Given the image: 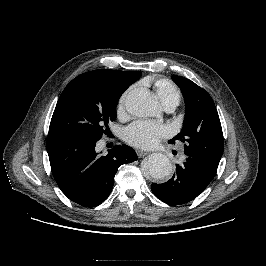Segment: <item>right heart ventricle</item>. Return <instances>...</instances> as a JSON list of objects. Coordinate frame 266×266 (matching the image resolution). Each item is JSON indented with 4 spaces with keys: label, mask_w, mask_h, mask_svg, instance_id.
Returning a JSON list of instances; mask_svg holds the SVG:
<instances>
[{
    "label": "right heart ventricle",
    "mask_w": 266,
    "mask_h": 266,
    "mask_svg": "<svg viewBox=\"0 0 266 266\" xmlns=\"http://www.w3.org/2000/svg\"><path fill=\"white\" fill-rule=\"evenodd\" d=\"M148 82H153L155 91L164 105H178L181 100V93L173 82L165 78L144 81V83Z\"/></svg>",
    "instance_id": "1"
}]
</instances>
